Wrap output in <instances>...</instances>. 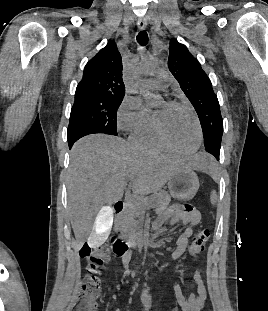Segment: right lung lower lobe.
Segmentation results:
<instances>
[{
  "label": "right lung lower lobe",
  "mask_w": 268,
  "mask_h": 311,
  "mask_svg": "<svg viewBox=\"0 0 268 311\" xmlns=\"http://www.w3.org/2000/svg\"><path fill=\"white\" fill-rule=\"evenodd\" d=\"M96 133L93 131L91 128H80L70 134H67L68 137V145L69 148L71 149L72 145L80 138L83 136L89 135V134H94Z\"/></svg>",
  "instance_id": "98d812e1"
}]
</instances>
